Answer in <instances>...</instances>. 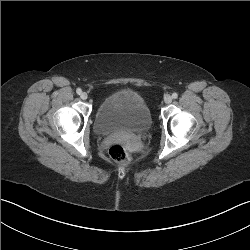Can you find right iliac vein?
Wrapping results in <instances>:
<instances>
[{
	"mask_svg": "<svg viewBox=\"0 0 250 250\" xmlns=\"http://www.w3.org/2000/svg\"><path fill=\"white\" fill-rule=\"evenodd\" d=\"M82 100H86L88 98V94L86 92L81 93L80 95Z\"/></svg>",
	"mask_w": 250,
	"mask_h": 250,
	"instance_id": "obj_1",
	"label": "right iliac vein"
}]
</instances>
